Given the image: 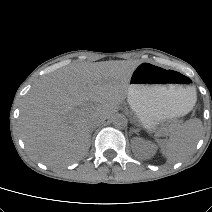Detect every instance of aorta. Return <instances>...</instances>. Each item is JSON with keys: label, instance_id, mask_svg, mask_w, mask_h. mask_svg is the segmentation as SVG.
<instances>
[{"label": "aorta", "instance_id": "obj_1", "mask_svg": "<svg viewBox=\"0 0 212 212\" xmlns=\"http://www.w3.org/2000/svg\"><path fill=\"white\" fill-rule=\"evenodd\" d=\"M113 125L116 128H124L127 125V119L122 114H117L113 117Z\"/></svg>", "mask_w": 212, "mask_h": 212}]
</instances>
